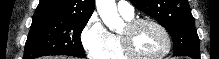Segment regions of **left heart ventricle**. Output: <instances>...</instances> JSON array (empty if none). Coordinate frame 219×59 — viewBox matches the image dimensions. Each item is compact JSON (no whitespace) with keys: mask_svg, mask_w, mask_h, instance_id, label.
<instances>
[{"mask_svg":"<svg viewBox=\"0 0 219 59\" xmlns=\"http://www.w3.org/2000/svg\"><path fill=\"white\" fill-rule=\"evenodd\" d=\"M127 31L126 26L121 34ZM132 46L134 50L142 56H156L161 54L166 48V40L163 34L153 25L143 24L132 34Z\"/></svg>","mask_w":219,"mask_h":59,"instance_id":"left-heart-ventricle-1","label":"left heart ventricle"}]
</instances>
